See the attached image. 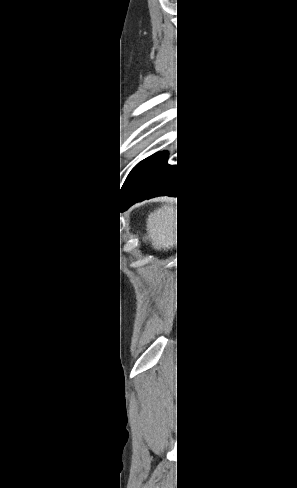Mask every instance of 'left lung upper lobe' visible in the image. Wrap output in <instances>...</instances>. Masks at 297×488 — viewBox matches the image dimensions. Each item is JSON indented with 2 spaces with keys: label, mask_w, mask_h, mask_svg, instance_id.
Wrapping results in <instances>:
<instances>
[{
  "label": "left lung upper lobe",
  "mask_w": 297,
  "mask_h": 488,
  "mask_svg": "<svg viewBox=\"0 0 297 488\" xmlns=\"http://www.w3.org/2000/svg\"><path fill=\"white\" fill-rule=\"evenodd\" d=\"M156 154L146 158L145 160L141 161L139 164H137L130 174L128 175L127 179L125 180L124 185L122 186V192H126L129 187L133 184V182L140 176V174L143 172V170L146 168L147 164L149 161L155 156Z\"/></svg>",
  "instance_id": "left-lung-upper-lobe-1"
}]
</instances>
